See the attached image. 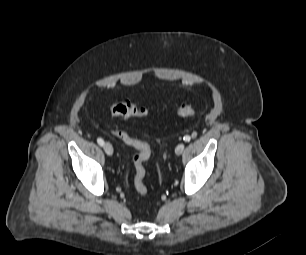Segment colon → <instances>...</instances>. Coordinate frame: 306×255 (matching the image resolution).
<instances>
[{"instance_id": "5ec220e1", "label": "colon", "mask_w": 306, "mask_h": 255, "mask_svg": "<svg viewBox=\"0 0 306 255\" xmlns=\"http://www.w3.org/2000/svg\"><path fill=\"white\" fill-rule=\"evenodd\" d=\"M110 112L113 116L122 118H146L149 116L150 111L143 106H137L129 100H119L110 106ZM177 115L184 118H191L195 115L194 108L187 103L177 104L175 107ZM111 133L121 140L126 145L135 150L133 156L134 165V187L137 193L141 196H146L148 188L145 184V162L149 159L151 150L147 143L130 136L127 132L119 129H111Z\"/></svg>"}]
</instances>
